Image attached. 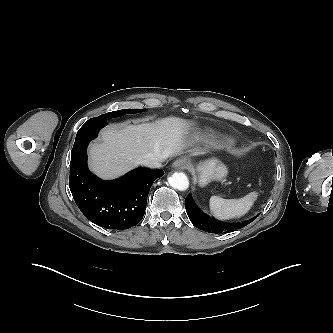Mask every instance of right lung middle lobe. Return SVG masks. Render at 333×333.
I'll return each instance as SVG.
<instances>
[{"mask_svg": "<svg viewBox=\"0 0 333 333\" xmlns=\"http://www.w3.org/2000/svg\"><path fill=\"white\" fill-rule=\"evenodd\" d=\"M146 109H140V110H134V109H123V110H118V111H113V112H109L103 115H100L98 117H95L96 119H110V118H115V117H120L123 116L125 114H133V113H139V112H143Z\"/></svg>", "mask_w": 333, "mask_h": 333, "instance_id": "right-lung-middle-lobe-1", "label": "right lung middle lobe"}]
</instances>
